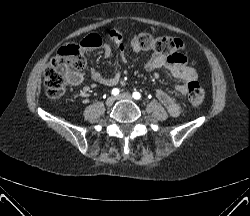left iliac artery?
Here are the masks:
<instances>
[{
  "label": "left iliac artery",
  "mask_w": 250,
  "mask_h": 216,
  "mask_svg": "<svg viewBox=\"0 0 250 216\" xmlns=\"http://www.w3.org/2000/svg\"><path fill=\"white\" fill-rule=\"evenodd\" d=\"M132 96L136 100H139L141 98V94L139 92H133Z\"/></svg>",
  "instance_id": "1"
}]
</instances>
